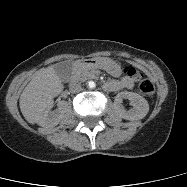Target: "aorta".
<instances>
[{
	"label": "aorta",
	"mask_w": 187,
	"mask_h": 187,
	"mask_svg": "<svg viewBox=\"0 0 187 187\" xmlns=\"http://www.w3.org/2000/svg\"><path fill=\"white\" fill-rule=\"evenodd\" d=\"M88 85H89V88H91V89L95 88V86H96L93 81H90Z\"/></svg>",
	"instance_id": "obj_1"
}]
</instances>
